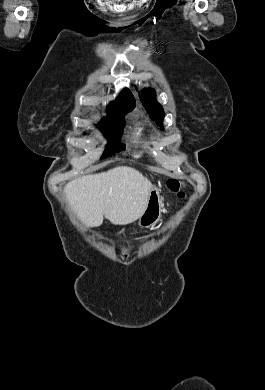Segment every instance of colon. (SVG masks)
Returning <instances> with one entry per match:
<instances>
[{"mask_svg":"<svg viewBox=\"0 0 265 390\" xmlns=\"http://www.w3.org/2000/svg\"><path fill=\"white\" fill-rule=\"evenodd\" d=\"M167 187L170 191L176 193L179 198L185 197L184 185L179 180H177L175 178L168 179L167 180Z\"/></svg>","mask_w":265,"mask_h":390,"instance_id":"1","label":"colon"}]
</instances>
